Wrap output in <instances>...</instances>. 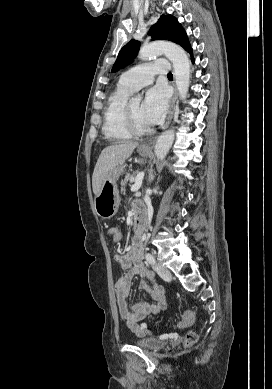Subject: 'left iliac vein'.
Masks as SVG:
<instances>
[{
  "label": "left iliac vein",
  "mask_w": 272,
  "mask_h": 389,
  "mask_svg": "<svg viewBox=\"0 0 272 389\" xmlns=\"http://www.w3.org/2000/svg\"><path fill=\"white\" fill-rule=\"evenodd\" d=\"M154 270L158 273V275H159L162 279H164V280H166V281L171 280L172 275H171V272L169 271L168 268L156 264V265H154Z\"/></svg>",
  "instance_id": "obj_1"
}]
</instances>
